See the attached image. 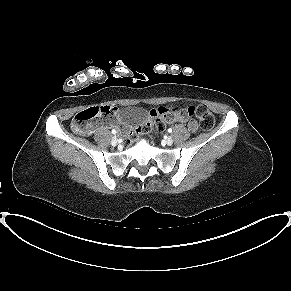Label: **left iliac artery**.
Here are the masks:
<instances>
[{"label": "left iliac artery", "mask_w": 291, "mask_h": 291, "mask_svg": "<svg viewBox=\"0 0 291 291\" xmlns=\"http://www.w3.org/2000/svg\"><path fill=\"white\" fill-rule=\"evenodd\" d=\"M172 131H173L172 128H169V129H168V132H169V133H171Z\"/></svg>", "instance_id": "left-iliac-artery-1"}]
</instances>
